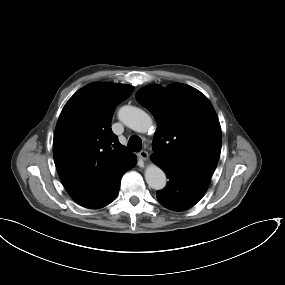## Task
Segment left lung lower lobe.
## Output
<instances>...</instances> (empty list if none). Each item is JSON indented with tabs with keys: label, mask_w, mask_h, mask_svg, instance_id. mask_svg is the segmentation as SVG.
<instances>
[{
	"label": "left lung lower lobe",
	"mask_w": 285,
	"mask_h": 285,
	"mask_svg": "<svg viewBox=\"0 0 285 285\" xmlns=\"http://www.w3.org/2000/svg\"><path fill=\"white\" fill-rule=\"evenodd\" d=\"M169 179L167 186L156 193L158 201L174 211L187 210L194 206L208 189L209 179L194 171L170 162L154 160Z\"/></svg>",
	"instance_id": "obj_1"
}]
</instances>
